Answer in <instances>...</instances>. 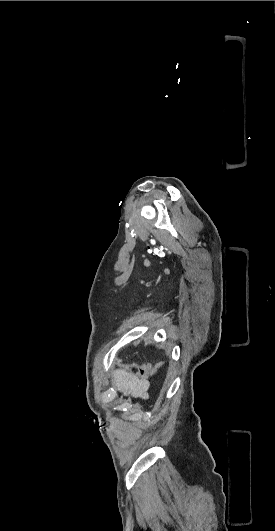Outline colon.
Returning <instances> with one entry per match:
<instances>
[{
    "label": "colon",
    "instance_id": "obj_1",
    "mask_svg": "<svg viewBox=\"0 0 275 531\" xmlns=\"http://www.w3.org/2000/svg\"><path fill=\"white\" fill-rule=\"evenodd\" d=\"M120 365L127 371L140 375L142 377H147L155 373L163 366L161 362H155V363L149 362V363L141 365V364H137L134 362H125V361L120 362Z\"/></svg>",
    "mask_w": 275,
    "mask_h": 531
}]
</instances>
